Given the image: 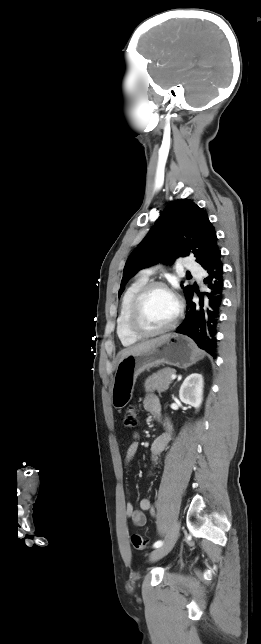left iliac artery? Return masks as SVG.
Segmentation results:
<instances>
[{
  "instance_id": "left-iliac-artery-1",
  "label": "left iliac artery",
  "mask_w": 261,
  "mask_h": 644,
  "mask_svg": "<svg viewBox=\"0 0 261 644\" xmlns=\"http://www.w3.org/2000/svg\"><path fill=\"white\" fill-rule=\"evenodd\" d=\"M162 545H163V542H162L161 540H159V541H156V542L154 543L153 547H154V548H158V547H160V546H162Z\"/></svg>"
}]
</instances>
